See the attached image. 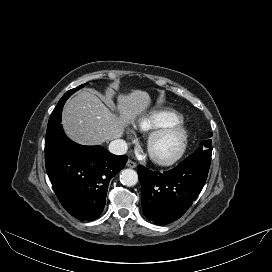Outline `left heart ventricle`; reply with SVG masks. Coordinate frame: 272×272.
<instances>
[{
	"mask_svg": "<svg viewBox=\"0 0 272 272\" xmlns=\"http://www.w3.org/2000/svg\"><path fill=\"white\" fill-rule=\"evenodd\" d=\"M177 140L174 137H168L159 146L158 150L161 153H169L175 149Z\"/></svg>",
	"mask_w": 272,
	"mask_h": 272,
	"instance_id": "obj_1",
	"label": "left heart ventricle"
}]
</instances>
